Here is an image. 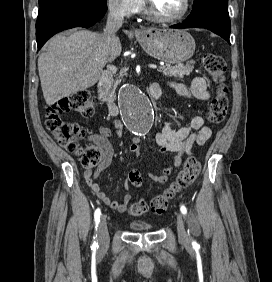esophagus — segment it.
Instances as JSON below:
<instances>
[{"label": "esophagus", "instance_id": "esophagus-1", "mask_svg": "<svg viewBox=\"0 0 272 282\" xmlns=\"http://www.w3.org/2000/svg\"><path fill=\"white\" fill-rule=\"evenodd\" d=\"M135 32L137 33V32H139V30H138V29H135Z\"/></svg>", "mask_w": 272, "mask_h": 282}]
</instances>
